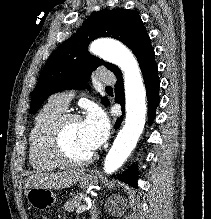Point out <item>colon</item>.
I'll use <instances>...</instances> for the list:
<instances>
[{
	"mask_svg": "<svg viewBox=\"0 0 211 219\" xmlns=\"http://www.w3.org/2000/svg\"><path fill=\"white\" fill-rule=\"evenodd\" d=\"M33 219H49L46 215H36Z\"/></svg>",
	"mask_w": 211,
	"mask_h": 219,
	"instance_id": "colon-1",
	"label": "colon"
}]
</instances>
